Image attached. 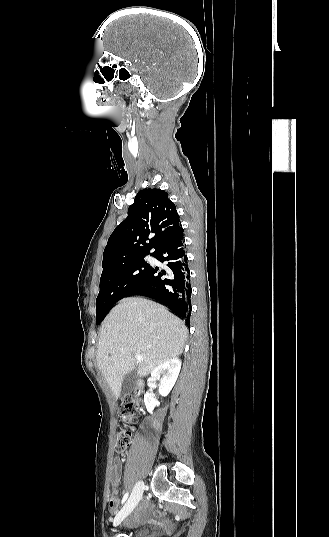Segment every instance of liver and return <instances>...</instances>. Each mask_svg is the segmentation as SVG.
<instances>
[{"instance_id": "6515ba94", "label": "liver", "mask_w": 329, "mask_h": 537, "mask_svg": "<svg viewBox=\"0 0 329 537\" xmlns=\"http://www.w3.org/2000/svg\"><path fill=\"white\" fill-rule=\"evenodd\" d=\"M188 330L164 306L130 297L116 305L103 322L98 342L97 365L117 399L122 379L134 370L148 375L161 363L182 354ZM141 355L139 362L135 356Z\"/></svg>"}]
</instances>
